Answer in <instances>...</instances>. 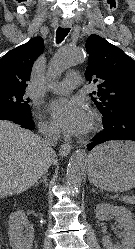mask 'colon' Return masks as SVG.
<instances>
[{
	"label": "colon",
	"mask_w": 135,
	"mask_h": 249,
	"mask_svg": "<svg viewBox=\"0 0 135 249\" xmlns=\"http://www.w3.org/2000/svg\"><path fill=\"white\" fill-rule=\"evenodd\" d=\"M0 249H2V244H1V242H0Z\"/></svg>",
	"instance_id": "obj_1"
}]
</instances>
